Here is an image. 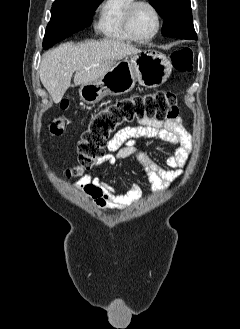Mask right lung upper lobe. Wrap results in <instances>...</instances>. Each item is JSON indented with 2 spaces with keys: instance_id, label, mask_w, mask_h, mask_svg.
<instances>
[{
  "instance_id": "right-lung-upper-lobe-1",
  "label": "right lung upper lobe",
  "mask_w": 240,
  "mask_h": 329,
  "mask_svg": "<svg viewBox=\"0 0 240 329\" xmlns=\"http://www.w3.org/2000/svg\"><path fill=\"white\" fill-rule=\"evenodd\" d=\"M56 2H59V1H66V0H55Z\"/></svg>"
}]
</instances>
